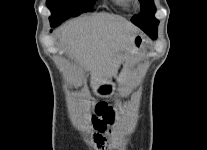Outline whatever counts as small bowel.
Masks as SVG:
<instances>
[{
  "mask_svg": "<svg viewBox=\"0 0 207 150\" xmlns=\"http://www.w3.org/2000/svg\"><path fill=\"white\" fill-rule=\"evenodd\" d=\"M95 141H96V143H97L98 145H100V146H101L102 143H103V141L101 140V137H99V136L96 137Z\"/></svg>",
  "mask_w": 207,
  "mask_h": 150,
  "instance_id": "1",
  "label": "small bowel"
}]
</instances>
